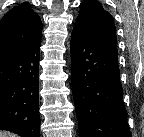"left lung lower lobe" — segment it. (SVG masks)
<instances>
[{
    "mask_svg": "<svg viewBox=\"0 0 144 137\" xmlns=\"http://www.w3.org/2000/svg\"><path fill=\"white\" fill-rule=\"evenodd\" d=\"M71 84L81 137H131L116 47L74 27Z\"/></svg>",
    "mask_w": 144,
    "mask_h": 137,
    "instance_id": "left-lung-lower-lobe-1",
    "label": "left lung lower lobe"
}]
</instances>
